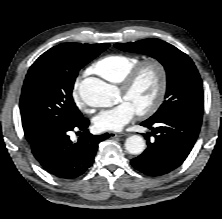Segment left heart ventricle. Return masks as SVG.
Listing matches in <instances>:
<instances>
[{"label": "left heart ventricle", "instance_id": "obj_1", "mask_svg": "<svg viewBox=\"0 0 222 219\" xmlns=\"http://www.w3.org/2000/svg\"><path fill=\"white\" fill-rule=\"evenodd\" d=\"M157 89V76L152 68L142 71L134 86L127 94L121 92V99L128 101L136 110L149 105Z\"/></svg>", "mask_w": 222, "mask_h": 219}]
</instances>
